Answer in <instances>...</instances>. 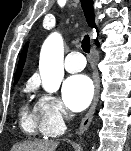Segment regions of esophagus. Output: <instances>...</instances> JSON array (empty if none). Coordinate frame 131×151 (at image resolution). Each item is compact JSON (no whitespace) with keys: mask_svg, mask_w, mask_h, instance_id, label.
I'll use <instances>...</instances> for the list:
<instances>
[{"mask_svg":"<svg viewBox=\"0 0 131 151\" xmlns=\"http://www.w3.org/2000/svg\"><path fill=\"white\" fill-rule=\"evenodd\" d=\"M93 80H94V86H95L94 98H93L92 104H91L88 112L86 113V115L84 116V118L81 121V124L79 127V135H82L84 132L87 131V129L93 119V116H94V113L96 110V106L98 103L100 82H99L98 72H96V71L93 74Z\"/></svg>","mask_w":131,"mask_h":151,"instance_id":"34e87169","label":"esophagus"}]
</instances>
